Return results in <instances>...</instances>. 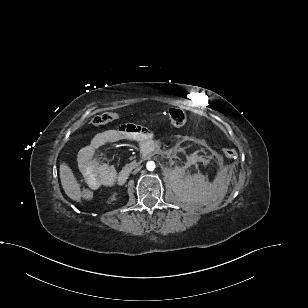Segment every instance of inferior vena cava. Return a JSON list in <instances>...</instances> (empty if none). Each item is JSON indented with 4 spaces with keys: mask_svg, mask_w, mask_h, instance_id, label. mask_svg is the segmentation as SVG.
I'll return each mask as SVG.
<instances>
[{
    "mask_svg": "<svg viewBox=\"0 0 308 308\" xmlns=\"http://www.w3.org/2000/svg\"><path fill=\"white\" fill-rule=\"evenodd\" d=\"M139 170H140V168H137V169L134 170L133 173H137Z\"/></svg>",
    "mask_w": 308,
    "mask_h": 308,
    "instance_id": "obj_1",
    "label": "inferior vena cava"
}]
</instances>
